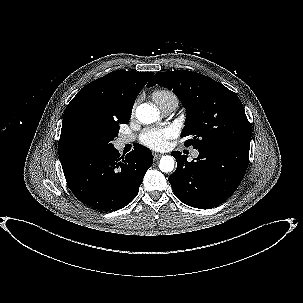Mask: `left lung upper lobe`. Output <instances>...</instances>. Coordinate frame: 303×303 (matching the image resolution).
<instances>
[{
	"label": "left lung upper lobe",
	"instance_id": "1",
	"mask_svg": "<svg viewBox=\"0 0 303 303\" xmlns=\"http://www.w3.org/2000/svg\"><path fill=\"white\" fill-rule=\"evenodd\" d=\"M173 90L187 109L181 136H190L185 146H250L251 124L238 96L205 75L176 70L157 72L147 84Z\"/></svg>",
	"mask_w": 303,
	"mask_h": 303
}]
</instances>
